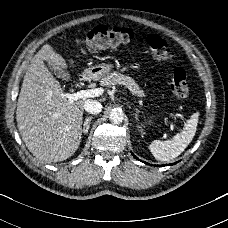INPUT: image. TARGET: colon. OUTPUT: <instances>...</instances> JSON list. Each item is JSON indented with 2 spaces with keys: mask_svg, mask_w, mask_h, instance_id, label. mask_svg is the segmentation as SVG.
I'll return each mask as SVG.
<instances>
[{
  "mask_svg": "<svg viewBox=\"0 0 228 228\" xmlns=\"http://www.w3.org/2000/svg\"><path fill=\"white\" fill-rule=\"evenodd\" d=\"M59 36H62V34ZM137 38L141 42L149 45L153 49L156 57L163 62L173 63L175 61V54L165 39L154 34L137 37L129 28H107L102 25L95 26L89 29L85 34V44L90 50L109 48L117 50L121 45L134 42ZM172 88L176 96L185 97L188 94L186 73L179 67L173 70Z\"/></svg>",
  "mask_w": 228,
  "mask_h": 228,
  "instance_id": "5ec220e1",
  "label": "colon"
}]
</instances>
